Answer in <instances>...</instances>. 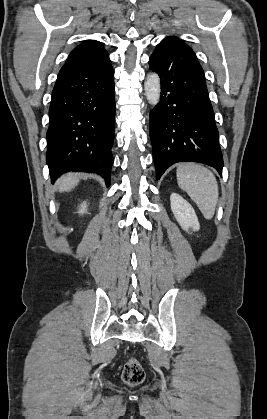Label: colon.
I'll list each match as a JSON object with an SVG mask.
<instances>
[{
  "label": "colon",
  "mask_w": 267,
  "mask_h": 419,
  "mask_svg": "<svg viewBox=\"0 0 267 419\" xmlns=\"http://www.w3.org/2000/svg\"><path fill=\"white\" fill-rule=\"evenodd\" d=\"M144 378L145 371L141 363L135 358H130L122 370L123 381L130 386H136L141 384Z\"/></svg>",
  "instance_id": "obj_1"
}]
</instances>
